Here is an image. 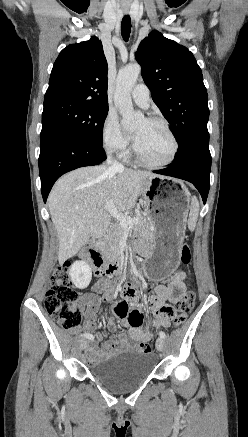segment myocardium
Returning a JSON list of instances; mask_svg holds the SVG:
<instances>
[{
	"label": "myocardium",
	"instance_id": "myocardium-1",
	"mask_svg": "<svg viewBox=\"0 0 248 437\" xmlns=\"http://www.w3.org/2000/svg\"><path fill=\"white\" fill-rule=\"evenodd\" d=\"M148 122L151 123H156V124H160L168 133L169 137L171 138L172 144H173V149L172 152L169 156V158L163 162H159V163H154V162H150L147 159L144 158V156L140 153L136 141L134 139L133 144H132V150L133 153L136 157V159L144 166L148 167V168H164L167 167L169 165H171L174 160L176 159V156L178 154L179 151V143L178 140L173 132V130L171 129L170 125L168 124V122L160 117H150L146 119Z\"/></svg>",
	"mask_w": 248,
	"mask_h": 437
}]
</instances>
